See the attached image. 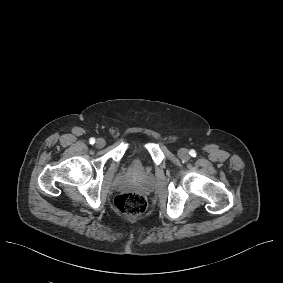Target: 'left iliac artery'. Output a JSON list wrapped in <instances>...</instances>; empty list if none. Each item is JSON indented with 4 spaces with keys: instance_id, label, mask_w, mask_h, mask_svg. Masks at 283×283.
<instances>
[{
    "instance_id": "obj_1",
    "label": "left iliac artery",
    "mask_w": 283,
    "mask_h": 283,
    "mask_svg": "<svg viewBox=\"0 0 283 283\" xmlns=\"http://www.w3.org/2000/svg\"><path fill=\"white\" fill-rule=\"evenodd\" d=\"M189 154L192 156V157H196V152H195V150H190L189 151Z\"/></svg>"
}]
</instances>
